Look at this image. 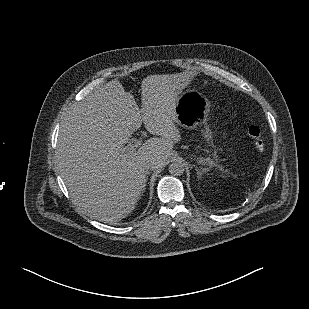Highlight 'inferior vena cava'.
Wrapping results in <instances>:
<instances>
[{"instance_id":"inferior-vena-cava-1","label":"inferior vena cava","mask_w":309,"mask_h":309,"mask_svg":"<svg viewBox=\"0 0 309 309\" xmlns=\"http://www.w3.org/2000/svg\"><path fill=\"white\" fill-rule=\"evenodd\" d=\"M160 167H162V165L157 166V165H155V164H150V165H148V166L146 167V169H147V171H150V170H153V169H156V168H160Z\"/></svg>"}]
</instances>
